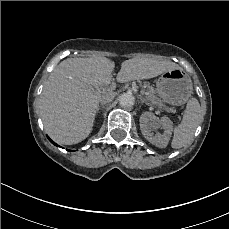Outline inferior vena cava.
<instances>
[{"mask_svg":"<svg viewBox=\"0 0 229 229\" xmlns=\"http://www.w3.org/2000/svg\"><path fill=\"white\" fill-rule=\"evenodd\" d=\"M123 97V96H122ZM107 103V101H105V100H101V104L102 105H105Z\"/></svg>","mask_w":229,"mask_h":229,"instance_id":"inferior-vena-cava-1","label":"inferior vena cava"}]
</instances>
